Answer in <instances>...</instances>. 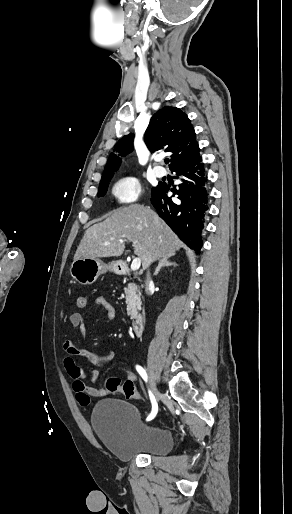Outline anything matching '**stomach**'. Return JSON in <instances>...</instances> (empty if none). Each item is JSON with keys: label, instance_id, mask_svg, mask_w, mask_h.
<instances>
[{"label": "stomach", "instance_id": "0dacf381", "mask_svg": "<svg viewBox=\"0 0 292 514\" xmlns=\"http://www.w3.org/2000/svg\"><path fill=\"white\" fill-rule=\"evenodd\" d=\"M117 270L116 262L104 264L99 258H79L71 264L70 274L76 282L87 286V284H94L100 274H105V272L117 274Z\"/></svg>", "mask_w": 292, "mask_h": 514}]
</instances>
